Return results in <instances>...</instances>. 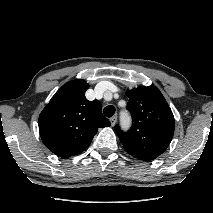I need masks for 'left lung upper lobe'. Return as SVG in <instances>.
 <instances>
[{"mask_svg": "<svg viewBox=\"0 0 213 213\" xmlns=\"http://www.w3.org/2000/svg\"><path fill=\"white\" fill-rule=\"evenodd\" d=\"M127 109L133 119L128 132L115 126L126 151L135 158L151 161L161 155L174 134V116L162 93L154 86L128 90Z\"/></svg>", "mask_w": 213, "mask_h": 213, "instance_id": "obj_1", "label": "left lung upper lobe"}]
</instances>
